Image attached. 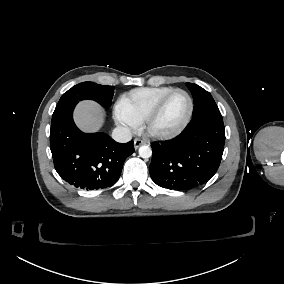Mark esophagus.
I'll list each match as a JSON object with an SVG mask.
<instances>
[{"label": "esophagus", "mask_w": 284, "mask_h": 284, "mask_svg": "<svg viewBox=\"0 0 284 284\" xmlns=\"http://www.w3.org/2000/svg\"><path fill=\"white\" fill-rule=\"evenodd\" d=\"M143 143H144V141L142 139L135 138L134 139V148H135V150L138 149Z\"/></svg>", "instance_id": "obj_1"}]
</instances>
